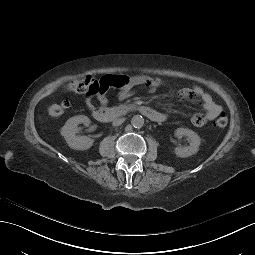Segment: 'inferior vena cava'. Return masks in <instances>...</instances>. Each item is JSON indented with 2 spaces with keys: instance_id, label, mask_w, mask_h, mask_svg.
<instances>
[{
  "instance_id": "602c4592",
  "label": "inferior vena cava",
  "mask_w": 255,
  "mask_h": 255,
  "mask_svg": "<svg viewBox=\"0 0 255 255\" xmlns=\"http://www.w3.org/2000/svg\"><path fill=\"white\" fill-rule=\"evenodd\" d=\"M125 121V118L116 119L113 121V126H119Z\"/></svg>"
}]
</instances>
